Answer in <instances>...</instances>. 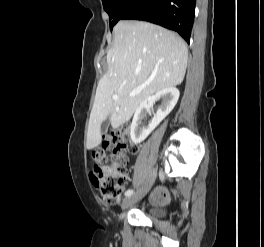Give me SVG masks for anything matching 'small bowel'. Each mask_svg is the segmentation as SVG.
Instances as JSON below:
<instances>
[{
	"mask_svg": "<svg viewBox=\"0 0 264 247\" xmlns=\"http://www.w3.org/2000/svg\"><path fill=\"white\" fill-rule=\"evenodd\" d=\"M169 199V193L165 190L158 189L151 195L152 201L166 202Z\"/></svg>",
	"mask_w": 264,
	"mask_h": 247,
	"instance_id": "1",
	"label": "small bowel"
}]
</instances>
